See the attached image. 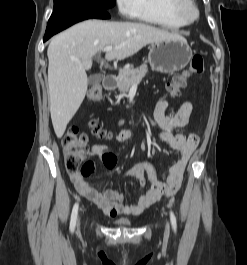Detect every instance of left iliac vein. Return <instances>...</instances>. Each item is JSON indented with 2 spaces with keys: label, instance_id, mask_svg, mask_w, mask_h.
<instances>
[{
  "label": "left iliac vein",
  "instance_id": "4c4485c4",
  "mask_svg": "<svg viewBox=\"0 0 247 265\" xmlns=\"http://www.w3.org/2000/svg\"><path fill=\"white\" fill-rule=\"evenodd\" d=\"M165 234L166 235H169V224L167 223V225H166V231H165Z\"/></svg>",
  "mask_w": 247,
  "mask_h": 265
}]
</instances>
